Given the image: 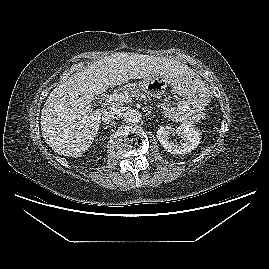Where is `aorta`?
Here are the masks:
<instances>
[{
  "label": "aorta",
  "instance_id": "762f6f07",
  "mask_svg": "<svg viewBox=\"0 0 269 269\" xmlns=\"http://www.w3.org/2000/svg\"><path fill=\"white\" fill-rule=\"evenodd\" d=\"M142 119L141 113L136 109H129L124 114V120L128 123H138Z\"/></svg>",
  "mask_w": 269,
  "mask_h": 269
}]
</instances>
